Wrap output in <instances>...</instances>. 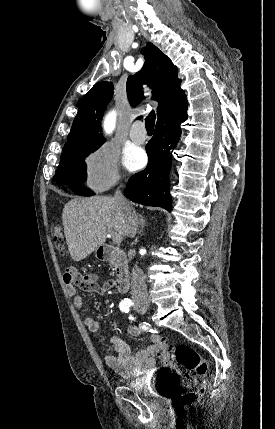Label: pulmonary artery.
<instances>
[{
  "instance_id": "1",
  "label": "pulmonary artery",
  "mask_w": 275,
  "mask_h": 429,
  "mask_svg": "<svg viewBox=\"0 0 275 429\" xmlns=\"http://www.w3.org/2000/svg\"><path fill=\"white\" fill-rule=\"evenodd\" d=\"M130 138L133 142L141 144L146 140V132L141 121H136L133 123L130 129Z\"/></svg>"
}]
</instances>
